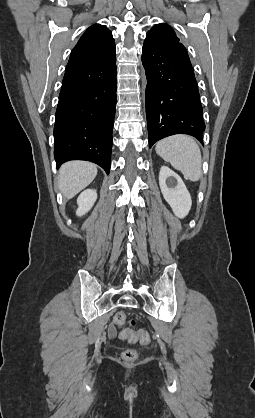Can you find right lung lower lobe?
<instances>
[{
    "label": "right lung lower lobe",
    "mask_w": 255,
    "mask_h": 418,
    "mask_svg": "<svg viewBox=\"0 0 255 418\" xmlns=\"http://www.w3.org/2000/svg\"><path fill=\"white\" fill-rule=\"evenodd\" d=\"M116 57L66 70L54 126L56 165L87 160L110 170L116 106Z\"/></svg>",
    "instance_id": "obj_1"
}]
</instances>
